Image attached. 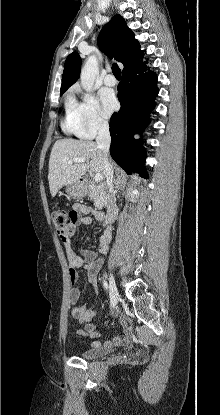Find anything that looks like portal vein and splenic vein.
<instances>
[{"label":"portal vein and splenic vein","instance_id":"obj_1","mask_svg":"<svg viewBox=\"0 0 220 415\" xmlns=\"http://www.w3.org/2000/svg\"><path fill=\"white\" fill-rule=\"evenodd\" d=\"M85 159H83V158H73V159H70L69 161H68V163L69 164H73V163H85ZM102 176L100 175V174H95V176H94V180H95V182H100V181H102Z\"/></svg>","mask_w":220,"mask_h":415}]
</instances>
